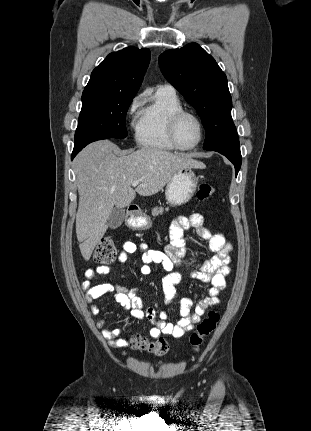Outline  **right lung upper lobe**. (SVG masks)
<instances>
[{
	"label": "right lung upper lobe",
	"mask_w": 311,
	"mask_h": 431,
	"mask_svg": "<svg viewBox=\"0 0 311 431\" xmlns=\"http://www.w3.org/2000/svg\"><path fill=\"white\" fill-rule=\"evenodd\" d=\"M150 61V50L128 47L110 53L91 73L83 93L136 95Z\"/></svg>",
	"instance_id": "obj_1"
}]
</instances>
